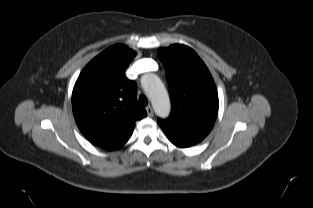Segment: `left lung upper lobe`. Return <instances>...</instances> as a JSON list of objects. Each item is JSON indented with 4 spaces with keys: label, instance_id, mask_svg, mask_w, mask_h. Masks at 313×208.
I'll use <instances>...</instances> for the list:
<instances>
[{
    "label": "left lung upper lobe",
    "instance_id": "5c2ea615",
    "mask_svg": "<svg viewBox=\"0 0 313 208\" xmlns=\"http://www.w3.org/2000/svg\"><path fill=\"white\" fill-rule=\"evenodd\" d=\"M164 65L172 103L170 116L158 124L170 142L190 147L211 131L218 112L214 80L200 57L188 46L175 44L157 52Z\"/></svg>",
    "mask_w": 313,
    "mask_h": 208
}]
</instances>
